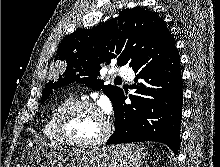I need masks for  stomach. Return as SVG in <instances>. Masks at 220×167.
Here are the masks:
<instances>
[{
	"mask_svg": "<svg viewBox=\"0 0 220 167\" xmlns=\"http://www.w3.org/2000/svg\"><path fill=\"white\" fill-rule=\"evenodd\" d=\"M145 153L136 144L92 150L63 149L45 142H32L21 153V167H140Z\"/></svg>",
	"mask_w": 220,
	"mask_h": 167,
	"instance_id": "obj_1",
	"label": "stomach"
}]
</instances>
